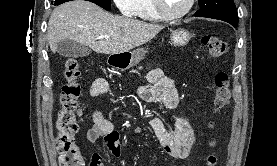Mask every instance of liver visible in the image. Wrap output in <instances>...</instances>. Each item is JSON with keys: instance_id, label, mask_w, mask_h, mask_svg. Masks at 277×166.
Wrapping results in <instances>:
<instances>
[{"instance_id": "obj_1", "label": "liver", "mask_w": 277, "mask_h": 166, "mask_svg": "<svg viewBox=\"0 0 277 166\" xmlns=\"http://www.w3.org/2000/svg\"><path fill=\"white\" fill-rule=\"evenodd\" d=\"M163 25L113 15L86 0H73L56 7L49 19L47 40L55 53L61 40L69 39L97 53L119 54L152 40ZM109 36V39H99Z\"/></svg>"}]
</instances>
